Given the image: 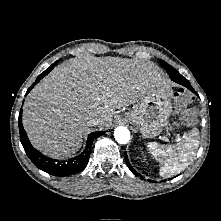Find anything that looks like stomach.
<instances>
[{
	"label": "stomach",
	"instance_id": "obj_1",
	"mask_svg": "<svg viewBox=\"0 0 221 221\" xmlns=\"http://www.w3.org/2000/svg\"><path fill=\"white\" fill-rule=\"evenodd\" d=\"M171 96L170 87L155 89L127 113L129 120L137 126L144 138L156 137L163 131L172 111Z\"/></svg>",
	"mask_w": 221,
	"mask_h": 221
}]
</instances>
